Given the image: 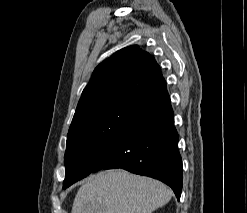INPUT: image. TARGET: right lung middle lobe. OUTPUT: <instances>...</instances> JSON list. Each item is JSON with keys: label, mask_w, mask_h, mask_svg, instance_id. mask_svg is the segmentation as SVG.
Wrapping results in <instances>:
<instances>
[{"label": "right lung middle lobe", "mask_w": 247, "mask_h": 213, "mask_svg": "<svg viewBox=\"0 0 247 213\" xmlns=\"http://www.w3.org/2000/svg\"><path fill=\"white\" fill-rule=\"evenodd\" d=\"M131 101L112 106L69 129L63 189L89 175L100 152L117 136L130 113Z\"/></svg>", "instance_id": "dd1d6c3e"}]
</instances>
